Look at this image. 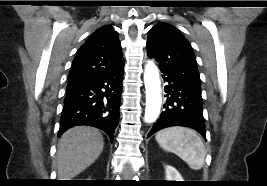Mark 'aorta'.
<instances>
[{"instance_id": "aorta-1", "label": "aorta", "mask_w": 267, "mask_h": 186, "mask_svg": "<svg viewBox=\"0 0 267 186\" xmlns=\"http://www.w3.org/2000/svg\"><path fill=\"white\" fill-rule=\"evenodd\" d=\"M144 83L146 89L145 121L152 123L158 118L160 113L162 91L158 68L151 61L145 66Z\"/></svg>"}]
</instances>
